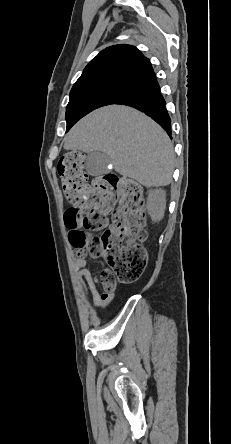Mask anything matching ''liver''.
Segmentation results:
<instances>
[{"instance_id":"1","label":"liver","mask_w":231,"mask_h":444,"mask_svg":"<svg viewBox=\"0 0 231 444\" xmlns=\"http://www.w3.org/2000/svg\"><path fill=\"white\" fill-rule=\"evenodd\" d=\"M65 150L107 154L117 173L143 186L172 181L175 155L166 132L140 111L109 105L82 118L64 138Z\"/></svg>"}]
</instances>
